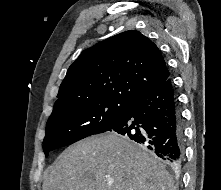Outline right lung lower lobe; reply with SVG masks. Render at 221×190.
<instances>
[{
	"instance_id": "1",
	"label": "right lung lower lobe",
	"mask_w": 221,
	"mask_h": 190,
	"mask_svg": "<svg viewBox=\"0 0 221 190\" xmlns=\"http://www.w3.org/2000/svg\"><path fill=\"white\" fill-rule=\"evenodd\" d=\"M109 131L144 145L170 166L183 160V124L171 78L128 102L121 120Z\"/></svg>"
}]
</instances>
